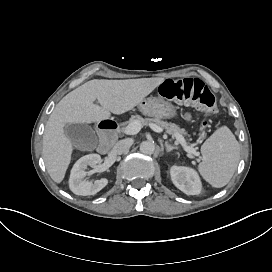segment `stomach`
I'll use <instances>...</instances> for the list:
<instances>
[{
	"label": "stomach",
	"mask_w": 272,
	"mask_h": 272,
	"mask_svg": "<svg viewBox=\"0 0 272 272\" xmlns=\"http://www.w3.org/2000/svg\"><path fill=\"white\" fill-rule=\"evenodd\" d=\"M139 110L147 116L156 118H172L176 115V108L170 102L159 97L144 98L138 104Z\"/></svg>",
	"instance_id": "1"
}]
</instances>
